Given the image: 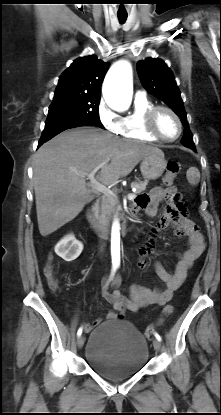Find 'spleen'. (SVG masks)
<instances>
[{"mask_svg": "<svg viewBox=\"0 0 221 415\" xmlns=\"http://www.w3.org/2000/svg\"><path fill=\"white\" fill-rule=\"evenodd\" d=\"M186 176H187L188 182L193 186H196L200 181V172L195 167L189 168Z\"/></svg>", "mask_w": 221, "mask_h": 415, "instance_id": "spleen-1", "label": "spleen"}]
</instances>
